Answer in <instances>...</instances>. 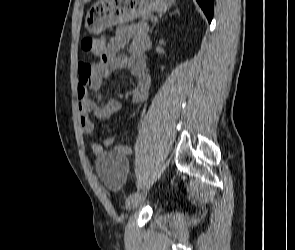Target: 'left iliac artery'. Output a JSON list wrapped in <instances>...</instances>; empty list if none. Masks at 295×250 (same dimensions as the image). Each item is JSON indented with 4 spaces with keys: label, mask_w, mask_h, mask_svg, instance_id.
<instances>
[{
    "label": "left iliac artery",
    "mask_w": 295,
    "mask_h": 250,
    "mask_svg": "<svg viewBox=\"0 0 295 250\" xmlns=\"http://www.w3.org/2000/svg\"><path fill=\"white\" fill-rule=\"evenodd\" d=\"M138 196H139L138 192H134V193L130 194L126 199V204L127 205L130 204V202Z\"/></svg>",
    "instance_id": "1"
}]
</instances>
